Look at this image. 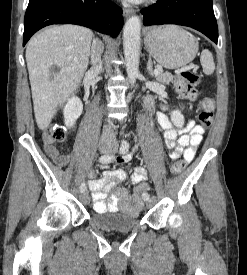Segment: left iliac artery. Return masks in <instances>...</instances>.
<instances>
[{"mask_svg":"<svg viewBox=\"0 0 247 275\" xmlns=\"http://www.w3.org/2000/svg\"><path fill=\"white\" fill-rule=\"evenodd\" d=\"M128 149H129V143H128L127 140L123 139L122 142H121L120 153L124 154L128 151ZM142 198L144 200H148L150 198V195L148 193H143Z\"/></svg>","mask_w":247,"mask_h":275,"instance_id":"obj_1","label":"left iliac artery"}]
</instances>
